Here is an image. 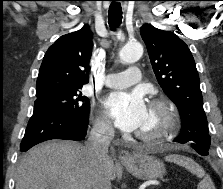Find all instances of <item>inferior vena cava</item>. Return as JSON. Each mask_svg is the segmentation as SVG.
Here are the masks:
<instances>
[{
  "mask_svg": "<svg viewBox=\"0 0 223 189\" xmlns=\"http://www.w3.org/2000/svg\"><path fill=\"white\" fill-rule=\"evenodd\" d=\"M114 137V128L109 123L95 122L90 131L86 152L92 160V189H111L110 178L107 175L109 162L108 147Z\"/></svg>",
  "mask_w": 223,
  "mask_h": 189,
  "instance_id": "1",
  "label": "inferior vena cava"
}]
</instances>
